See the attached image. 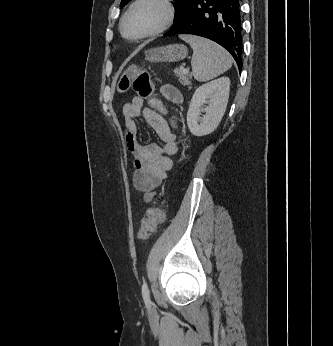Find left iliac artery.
Instances as JSON below:
<instances>
[{"label": "left iliac artery", "instance_id": "1", "mask_svg": "<svg viewBox=\"0 0 333 346\" xmlns=\"http://www.w3.org/2000/svg\"><path fill=\"white\" fill-rule=\"evenodd\" d=\"M142 296L146 306L150 308L151 301H150L149 289H148V285L146 281H144L142 285Z\"/></svg>", "mask_w": 333, "mask_h": 346}]
</instances>
